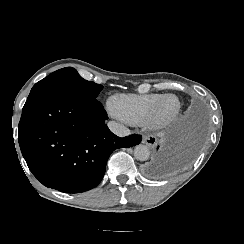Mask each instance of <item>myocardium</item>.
Returning a JSON list of instances; mask_svg holds the SVG:
<instances>
[{
	"mask_svg": "<svg viewBox=\"0 0 244 244\" xmlns=\"http://www.w3.org/2000/svg\"><path fill=\"white\" fill-rule=\"evenodd\" d=\"M167 98H173L175 100V105L169 110L163 108V102ZM179 109L180 101L176 95L168 93L159 96L154 107V113L152 117H154V114H156V116L152 119V126L156 128H163L167 126L176 117Z\"/></svg>",
	"mask_w": 244,
	"mask_h": 244,
	"instance_id": "f54148a6",
	"label": "myocardium"
}]
</instances>
